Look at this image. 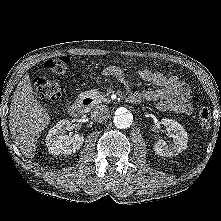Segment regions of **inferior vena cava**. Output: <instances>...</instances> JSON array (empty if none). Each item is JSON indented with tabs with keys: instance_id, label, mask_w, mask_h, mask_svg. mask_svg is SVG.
I'll list each match as a JSON object with an SVG mask.
<instances>
[{
	"instance_id": "602c4592",
	"label": "inferior vena cava",
	"mask_w": 221,
	"mask_h": 221,
	"mask_svg": "<svg viewBox=\"0 0 221 221\" xmlns=\"http://www.w3.org/2000/svg\"><path fill=\"white\" fill-rule=\"evenodd\" d=\"M91 116L97 122H105L110 117V110L106 105H97L92 111Z\"/></svg>"
}]
</instances>
